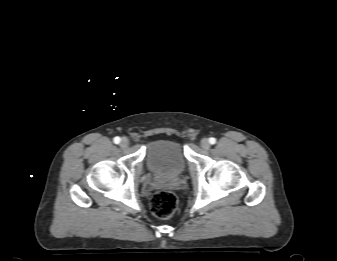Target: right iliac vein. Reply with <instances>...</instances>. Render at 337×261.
Wrapping results in <instances>:
<instances>
[{"instance_id": "right-iliac-vein-1", "label": "right iliac vein", "mask_w": 337, "mask_h": 261, "mask_svg": "<svg viewBox=\"0 0 337 261\" xmlns=\"http://www.w3.org/2000/svg\"><path fill=\"white\" fill-rule=\"evenodd\" d=\"M120 146L121 148H127L129 146V140L127 138H122Z\"/></svg>"}]
</instances>
